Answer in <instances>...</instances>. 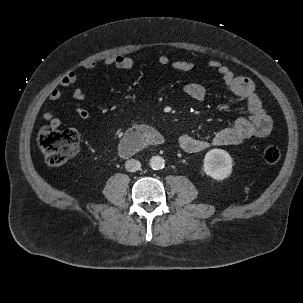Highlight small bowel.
I'll use <instances>...</instances> for the list:
<instances>
[{
  "label": "small bowel",
  "instance_id": "obj_1",
  "mask_svg": "<svg viewBox=\"0 0 303 303\" xmlns=\"http://www.w3.org/2000/svg\"><path fill=\"white\" fill-rule=\"evenodd\" d=\"M157 61L160 65L172 67L179 72L190 71L194 67V63L190 60L171 59L165 54H161ZM104 64L128 70L134 66V60L129 56L118 55L106 58ZM207 66L221 75L224 88L228 93L245 101L247 115L238 117L230 126L219 130L210 139L182 134L178 137L179 147L188 153H198L210 146L238 145L252 137L268 136L272 130V121L261 97L255 91L253 81L250 78L235 75L230 68L217 60L208 61ZM84 68L93 70L96 68V63L89 62ZM77 80L78 74L75 71L66 73L59 81V86L49 92L48 98L52 101L59 100L63 96L64 90L74 85ZM183 92L194 100H204L208 96L207 87L198 82L186 84ZM73 97L77 100H84L85 94L77 87L73 90ZM75 117L85 120L89 117V112L83 107H77ZM43 118L54 128H59L61 125V120L55 116L52 110L44 111Z\"/></svg>",
  "mask_w": 303,
  "mask_h": 303
}]
</instances>
